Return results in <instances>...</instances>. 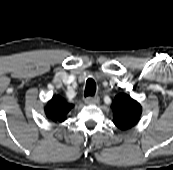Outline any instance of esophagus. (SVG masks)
<instances>
[{"label": "esophagus", "instance_id": "34e87169", "mask_svg": "<svg viewBox=\"0 0 173 170\" xmlns=\"http://www.w3.org/2000/svg\"><path fill=\"white\" fill-rule=\"evenodd\" d=\"M98 102H99L98 96H89L85 99V104H88V105L97 104Z\"/></svg>", "mask_w": 173, "mask_h": 170}]
</instances>
